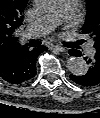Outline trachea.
Instances as JSON below:
<instances>
[{
  "label": "trachea",
  "instance_id": "1",
  "mask_svg": "<svg viewBox=\"0 0 100 118\" xmlns=\"http://www.w3.org/2000/svg\"><path fill=\"white\" fill-rule=\"evenodd\" d=\"M40 44H41V41H39V40H31L29 42V45L32 46V47H36V46H38Z\"/></svg>",
  "mask_w": 100,
  "mask_h": 118
}]
</instances>
